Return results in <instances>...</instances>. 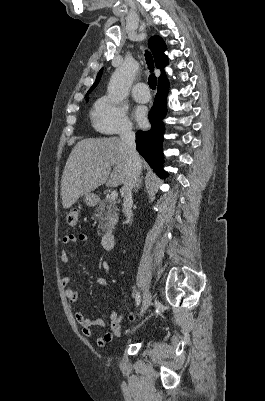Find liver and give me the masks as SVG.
Wrapping results in <instances>:
<instances>
[{
  "label": "liver",
  "instance_id": "liver-1",
  "mask_svg": "<svg viewBox=\"0 0 265 401\" xmlns=\"http://www.w3.org/2000/svg\"><path fill=\"white\" fill-rule=\"evenodd\" d=\"M143 166V160L140 158ZM114 166L112 172L111 168ZM130 176V164L124 142L118 136L83 138L72 148L61 180L63 209H70L79 196L88 194L100 184L118 186ZM123 194V186L121 188Z\"/></svg>",
  "mask_w": 265,
  "mask_h": 401
}]
</instances>
